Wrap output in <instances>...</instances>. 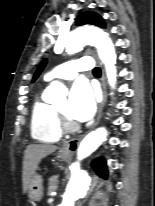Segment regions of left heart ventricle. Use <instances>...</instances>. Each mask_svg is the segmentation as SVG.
<instances>
[{
  "label": "left heart ventricle",
  "instance_id": "1",
  "mask_svg": "<svg viewBox=\"0 0 155 206\" xmlns=\"http://www.w3.org/2000/svg\"><path fill=\"white\" fill-rule=\"evenodd\" d=\"M56 107L62 112H64L65 114H67L66 112L67 102L66 101H62L61 103L57 104Z\"/></svg>",
  "mask_w": 155,
  "mask_h": 206
}]
</instances>
